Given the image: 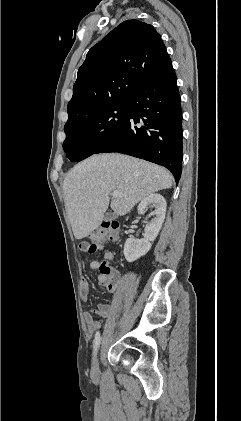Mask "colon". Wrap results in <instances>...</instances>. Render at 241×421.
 I'll return each instance as SVG.
<instances>
[{"label":"colon","instance_id":"obj_1","mask_svg":"<svg viewBox=\"0 0 241 421\" xmlns=\"http://www.w3.org/2000/svg\"><path fill=\"white\" fill-rule=\"evenodd\" d=\"M119 236V225L115 222H103L91 236V242L84 241L80 244V249L88 254L97 252V247L107 241H115ZM100 271L109 276L112 268L105 261L100 265Z\"/></svg>","mask_w":241,"mask_h":421}]
</instances>
